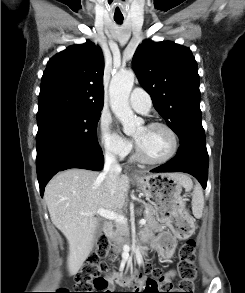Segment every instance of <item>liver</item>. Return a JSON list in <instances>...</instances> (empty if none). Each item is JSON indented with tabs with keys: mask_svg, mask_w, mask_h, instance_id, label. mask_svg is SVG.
Returning a JSON list of instances; mask_svg holds the SVG:
<instances>
[{
	"mask_svg": "<svg viewBox=\"0 0 245 293\" xmlns=\"http://www.w3.org/2000/svg\"><path fill=\"white\" fill-rule=\"evenodd\" d=\"M186 189L192 181L184 174H172ZM129 178L119 175L117 189L112 193L102 173L85 169H68L50 180L44 198L52 223L64 234L69 244L67 266L75 275L89 256L99 221L82 213L105 209L120 211L126 204Z\"/></svg>",
	"mask_w": 245,
	"mask_h": 293,
	"instance_id": "6515ba94",
	"label": "liver"
}]
</instances>
